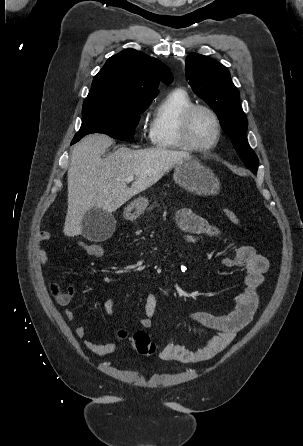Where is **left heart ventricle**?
<instances>
[{
	"label": "left heart ventricle",
	"mask_w": 303,
	"mask_h": 446,
	"mask_svg": "<svg viewBox=\"0 0 303 446\" xmlns=\"http://www.w3.org/2000/svg\"><path fill=\"white\" fill-rule=\"evenodd\" d=\"M190 138L197 146H208L213 143L216 128L211 116L203 111H196L190 121Z\"/></svg>",
	"instance_id": "obj_1"
}]
</instances>
